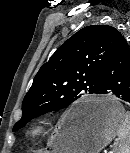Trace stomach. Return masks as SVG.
<instances>
[{
	"label": "stomach",
	"mask_w": 130,
	"mask_h": 153,
	"mask_svg": "<svg viewBox=\"0 0 130 153\" xmlns=\"http://www.w3.org/2000/svg\"><path fill=\"white\" fill-rule=\"evenodd\" d=\"M50 137L48 153H99L117 135L125 118L122 105L111 96L81 100ZM90 108V116L75 117L76 110Z\"/></svg>",
	"instance_id": "0dacf381"
}]
</instances>
